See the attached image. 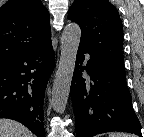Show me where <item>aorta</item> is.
Here are the masks:
<instances>
[{"instance_id":"obj_1","label":"aorta","mask_w":144,"mask_h":137,"mask_svg":"<svg viewBox=\"0 0 144 137\" xmlns=\"http://www.w3.org/2000/svg\"><path fill=\"white\" fill-rule=\"evenodd\" d=\"M81 29L76 23L64 27L61 37V55L52 89L54 110L63 113L66 109L79 43Z\"/></svg>"}]
</instances>
